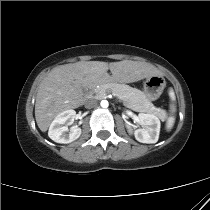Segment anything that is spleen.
<instances>
[{"label":"spleen","instance_id":"spleen-1","mask_svg":"<svg viewBox=\"0 0 210 210\" xmlns=\"http://www.w3.org/2000/svg\"><path fill=\"white\" fill-rule=\"evenodd\" d=\"M169 96H170V99L172 101L171 105H170V112L172 113L171 116H169L167 118V121H166V129L168 131H170L174 125V122H175V117L173 116V114L175 113L176 111V107H175V94L173 92V90H170L169 91Z\"/></svg>","mask_w":210,"mask_h":210}]
</instances>
